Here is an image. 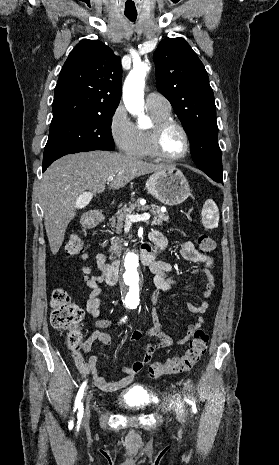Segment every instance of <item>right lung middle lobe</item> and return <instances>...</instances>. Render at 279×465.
<instances>
[{"instance_id": "dd1d6c3e", "label": "right lung middle lobe", "mask_w": 279, "mask_h": 465, "mask_svg": "<svg viewBox=\"0 0 279 465\" xmlns=\"http://www.w3.org/2000/svg\"><path fill=\"white\" fill-rule=\"evenodd\" d=\"M115 110L51 124L44 149L43 166L58 158L85 151L88 147L114 149L111 121Z\"/></svg>"}]
</instances>
